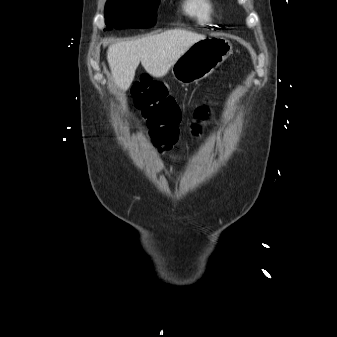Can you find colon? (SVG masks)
Masks as SVG:
<instances>
[{
    "label": "colon",
    "mask_w": 337,
    "mask_h": 337,
    "mask_svg": "<svg viewBox=\"0 0 337 337\" xmlns=\"http://www.w3.org/2000/svg\"><path fill=\"white\" fill-rule=\"evenodd\" d=\"M132 96L137 108L142 111L153 145L161 151L171 149L179 138L180 108L163 84L149 75H142L132 86ZM208 115V107L200 104L195 112L191 133L198 136L202 131L201 120Z\"/></svg>",
    "instance_id": "obj_1"
}]
</instances>
